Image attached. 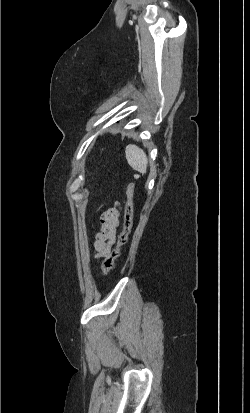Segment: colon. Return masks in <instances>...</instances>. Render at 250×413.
I'll return each instance as SVG.
<instances>
[{"mask_svg": "<svg viewBox=\"0 0 250 413\" xmlns=\"http://www.w3.org/2000/svg\"><path fill=\"white\" fill-rule=\"evenodd\" d=\"M133 196L134 184L131 183L128 185L126 191L123 229L118 236L115 246L102 262V272L105 276H107L110 273V271L114 268L115 261L120 255L121 248L127 243L129 234L131 232L133 219Z\"/></svg>", "mask_w": 250, "mask_h": 413, "instance_id": "1", "label": "colon"}]
</instances>
